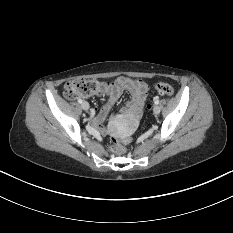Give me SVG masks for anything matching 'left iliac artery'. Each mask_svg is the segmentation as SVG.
<instances>
[{"label":"left iliac artery","mask_w":233,"mask_h":233,"mask_svg":"<svg viewBox=\"0 0 233 233\" xmlns=\"http://www.w3.org/2000/svg\"><path fill=\"white\" fill-rule=\"evenodd\" d=\"M155 104H159V100L158 99L155 100Z\"/></svg>","instance_id":"obj_1"}]
</instances>
